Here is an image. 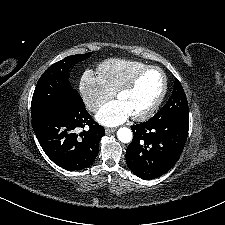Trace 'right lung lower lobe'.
I'll use <instances>...</instances> for the list:
<instances>
[{
	"instance_id": "98d812e1",
	"label": "right lung lower lobe",
	"mask_w": 225,
	"mask_h": 225,
	"mask_svg": "<svg viewBox=\"0 0 225 225\" xmlns=\"http://www.w3.org/2000/svg\"><path fill=\"white\" fill-rule=\"evenodd\" d=\"M89 128L77 134L78 128ZM32 126L46 155L58 166L81 170L98 155L104 127L92 120L83 100H67L32 116Z\"/></svg>"
}]
</instances>
